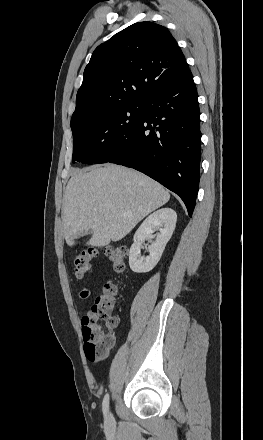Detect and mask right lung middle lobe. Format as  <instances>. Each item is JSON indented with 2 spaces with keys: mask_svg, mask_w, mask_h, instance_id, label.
<instances>
[{
  "mask_svg": "<svg viewBox=\"0 0 263 440\" xmlns=\"http://www.w3.org/2000/svg\"><path fill=\"white\" fill-rule=\"evenodd\" d=\"M143 116V103H128L103 109L82 118L72 129L75 161L104 163L109 151L129 136Z\"/></svg>",
  "mask_w": 263,
  "mask_h": 440,
  "instance_id": "right-lung-middle-lobe-1",
  "label": "right lung middle lobe"
}]
</instances>
